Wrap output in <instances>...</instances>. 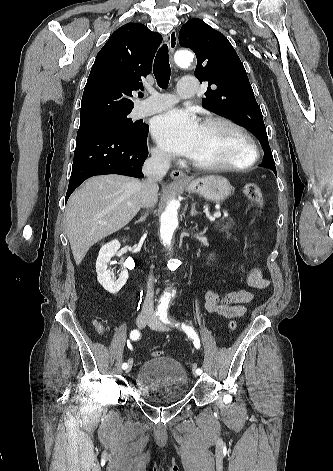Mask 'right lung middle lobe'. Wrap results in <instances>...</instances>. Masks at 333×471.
Returning <instances> with one entry per match:
<instances>
[{"label":"right lung middle lobe","mask_w":333,"mask_h":471,"mask_svg":"<svg viewBox=\"0 0 333 471\" xmlns=\"http://www.w3.org/2000/svg\"><path fill=\"white\" fill-rule=\"evenodd\" d=\"M130 112L131 111L116 112L81 119L79 130L90 128H113L129 134H139L143 130L144 125L132 122V119L128 117Z\"/></svg>","instance_id":"dd1d6c3e"}]
</instances>
